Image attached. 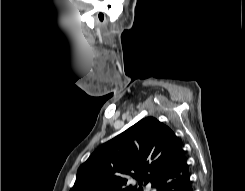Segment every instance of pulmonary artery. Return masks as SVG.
<instances>
[{"mask_svg": "<svg viewBox=\"0 0 245 191\" xmlns=\"http://www.w3.org/2000/svg\"><path fill=\"white\" fill-rule=\"evenodd\" d=\"M148 186H149V187H152V190H153V191H156V188H155V186H154V185L149 184Z\"/></svg>", "mask_w": 245, "mask_h": 191, "instance_id": "1", "label": "pulmonary artery"}]
</instances>
